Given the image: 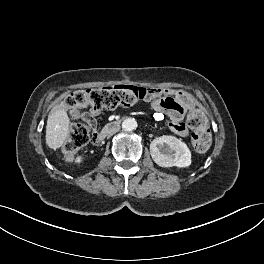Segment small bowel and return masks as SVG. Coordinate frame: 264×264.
Instances as JSON below:
<instances>
[{"label":"small bowel","instance_id":"c3829d8e","mask_svg":"<svg viewBox=\"0 0 264 264\" xmlns=\"http://www.w3.org/2000/svg\"><path fill=\"white\" fill-rule=\"evenodd\" d=\"M145 100L159 115L169 117V129L172 132L182 137L188 135L189 130L183 122V118L185 111L192 105V99L187 93L179 90L152 88L148 89ZM74 113L89 125L93 131V142L98 143L96 117L100 114V110L90 109L88 112L76 110Z\"/></svg>","mask_w":264,"mask_h":264}]
</instances>
